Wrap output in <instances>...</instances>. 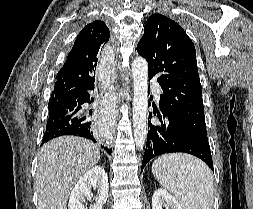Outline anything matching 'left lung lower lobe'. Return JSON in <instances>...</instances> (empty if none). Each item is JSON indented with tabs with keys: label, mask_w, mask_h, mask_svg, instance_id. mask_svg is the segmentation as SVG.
I'll use <instances>...</instances> for the list:
<instances>
[{
	"label": "left lung lower lobe",
	"mask_w": 253,
	"mask_h": 209,
	"mask_svg": "<svg viewBox=\"0 0 253 209\" xmlns=\"http://www.w3.org/2000/svg\"><path fill=\"white\" fill-rule=\"evenodd\" d=\"M150 102L148 103V106ZM159 122H148V137L146 150L143 156L141 171L154 157L173 152L192 154L203 160L214 172L212 156L208 139L199 136L193 131L183 127L178 121L159 111H153ZM150 118L152 113H150Z\"/></svg>",
	"instance_id": "obj_1"
}]
</instances>
